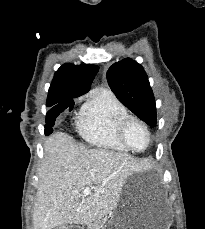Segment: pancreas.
I'll list each match as a JSON object with an SVG mask.
<instances>
[{
    "label": "pancreas",
    "mask_w": 205,
    "mask_h": 229,
    "mask_svg": "<svg viewBox=\"0 0 205 229\" xmlns=\"http://www.w3.org/2000/svg\"><path fill=\"white\" fill-rule=\"evenodd\" d=\"M101 222H98V223H94V224H90L88 226V229H101Z\"/></svg>",
    "instance_id": "cf45deb5"
}]
</instances>
